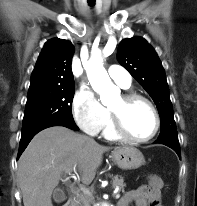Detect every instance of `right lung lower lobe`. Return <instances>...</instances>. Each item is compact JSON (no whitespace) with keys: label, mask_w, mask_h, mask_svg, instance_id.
<instances>
[{"label":"right lung lower lobe","mask_w":197,"mask_h":206,"mask_svg":"<svg viewBox=\"0 0 197 206\" xmlns=\"http://www.w3.org/2000/svg\"><path fill=\"white\" fill-rule=\"evenodd\" d=\"M52 126H64L72 130H79L77 125L75 123L71 122H64V121H54V122H45L42 124H39L33 128H30L26 131H22L21 140H20V146H19V152L18 157L22 154V152L25 150L31 139L41 130L46 129L48 127Z\"/></svg>","instance_id":"right-lung-lower-lobe-1"}]
</instances>
